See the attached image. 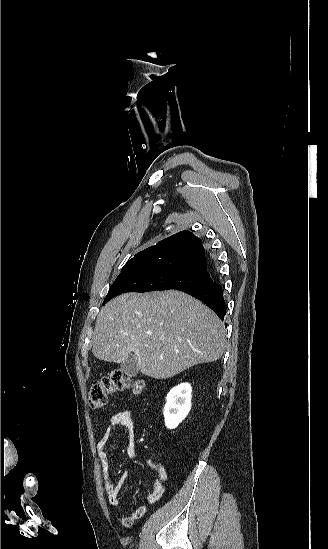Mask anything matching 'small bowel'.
I'll return each mask as SVG.
<instances>
[{
	"label": "small bowel",
	"instance_id": "c3829d8e",
	"mask_svg": "<svg viewBox=\"0 0 328 549\" xmlns=\"http://www.w3.org/2000/svg\"><path fill=\"white\" fill-rule=\"evenodd\" d=\"M115 429H120L127 434L128 455L133 459H137L139 455L134 446L133 413L131 410H122L113 414L110 418L108 427L97 443V454L100 460L108 500L112 506L118 507L120 506L119 490L124 480L127 478L128 473L127 471H123L117 483L112 480L107 445ZM146 463L150 470L157 476L153 488L147 496V500L149 503H156L164 493V482L167 480V472L163 465L151 458H147ZM143 512L144 509L141 508L138 509L135 514L141 515Z\"/></svg>",
	"mask_w": 328,
	"mask_h": 549
}]
</instances>
